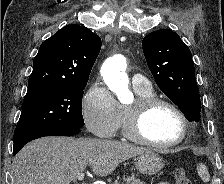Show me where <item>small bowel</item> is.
I'll return each instance as SVG.
<instances>
[{
    "instance_id": "small-bowel-1",
    "label": "small bowel",
    "mask_w": 224,
    "mask_h": 184,
    "mask_svg": "<svg viewBox=\"0 0 224 184\" xmlns=\"http://www.w3.org/2000/svg\"><path fill=\"white\" fill-rule=\"evenodd\" d=\"M158 184H170V183H168V182H161V183H158Z\"/></svg>"
}]
</instances>
